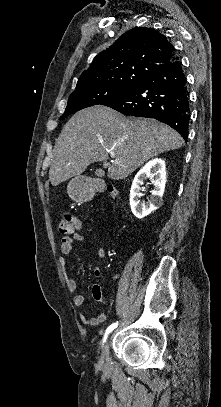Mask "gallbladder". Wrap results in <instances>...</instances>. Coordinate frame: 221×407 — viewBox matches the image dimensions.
<instances>
[{
  "label": "gallbladder",
  "instance_id": "bac80fb5",
  "mask_svg": "<svg viewBox=\"0 0 221 407\" xmlns=\"http://www.w3.org/2000/svg\"><path fill=\"white\" fill-rule=\"evenodd\" d=\"M95 174H96L97 176H103V175H104V171H103L102 169H97V170L95 171Z\"/></svg>",
  "mask_w": 221,
  "mask_h": 407
}]
</instances>
